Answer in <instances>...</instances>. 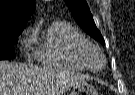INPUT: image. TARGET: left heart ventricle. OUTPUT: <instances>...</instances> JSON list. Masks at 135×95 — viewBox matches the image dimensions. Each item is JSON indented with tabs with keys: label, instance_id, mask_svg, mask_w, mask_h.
<instances>
[{
	"label": "left heart ventricle",
	"instance_id": "1",
	"mask_svg": "<svg viewBox=\"0 0 135 95\" xmlns=\"http://www.w3.org/2000/svg\"><path fill=\"white\" fill-rule=\"evenodd\" d=\"M89 64L93 68H100L101 65H102L101 58L97 54L92 53V54L89 55Z\"/></svg>",
	"mask_w": 135,
	"mask_h": 95
}]
</instances>
